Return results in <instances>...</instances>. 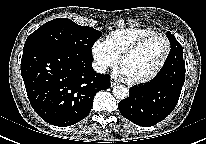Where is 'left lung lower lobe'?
Listing matches in <instances>:
<instances>
[{
	"mask_svg": "<svg viewBox=\"0 0 206 144\" xmlns=\"http://www.w3.org/2000/svg\"><path fill=\"white\" fill-rule=\"evenodd\" d=\"M185 81V64L163 66L148 83L129 89V97L121 100L118 109L129 121L150 127L164 120L175 108Z\"/></svg>",
	"mask_w": 206,
	"mask_h": 144,
	"instance_id": "1",
	"label": "left lung lower lobe"
}]
</instances>
